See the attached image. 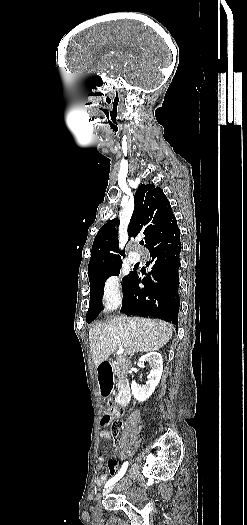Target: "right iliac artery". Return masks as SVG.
<instances>
[{
	"mask_svg": "<svg viewBox=\"0 0 247 525\" xmlns=\"http://www.w3.org/2000/svg\"><path fill=\"white\" fill-rule=\"evenodd\" d=\"M127 467H128V462H125L122 465L120 471L105 484V487L113 485L115 482H117L125 474Z\"/></svg>",
	"mask_w": 247,
	"mask_h": 525,
	"instance_id": "right-iliac-artery-1",
	"label": "right iliac artery"
}]
</instances>
